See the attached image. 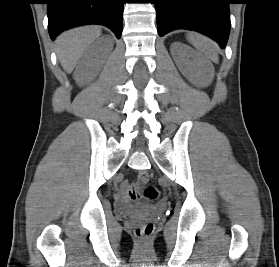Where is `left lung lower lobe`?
Returning <instances> with one entry per match:
<instances>
[{"instance_id": "1", "label": "left lung lower lobe", "mask_w": 279, "mask_h": 267, "mask_svg": "<svg viewBox=\"0 0 279 267\" xmlns=\"http://www.w3.org/2000/svg\"><path fill=\"white\" fill-rule=\"evenodd\" d=\"M230 0H154L159 36L175 29L201 32L223 49L230 31Z\"/></svg>"}]
</instances>
